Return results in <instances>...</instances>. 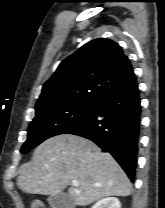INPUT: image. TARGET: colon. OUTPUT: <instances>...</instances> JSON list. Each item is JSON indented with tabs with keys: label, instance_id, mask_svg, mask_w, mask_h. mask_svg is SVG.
Instances as JSON below:
<instances>
[{
	"label": "colon",
	"instance_id": "1",
	"mask_svg": "<svg viewBox=\"0 0 165 208\" xmlns=\"http://www.w3.org/2000/svg\"><path fill=\"white\" fill-rule=\"evenodd\" d=\"M30 208H46L44 206V204L38 200H34L32 203H31V206Z\"/></svg>",
	"mask_w": 165,
	"mask_h": 208
}]
</instances>
